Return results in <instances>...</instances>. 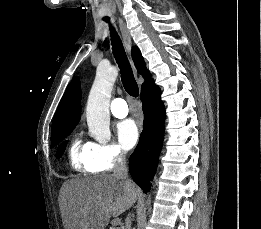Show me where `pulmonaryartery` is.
Masks as SVG:
<instances>
[{"label":"pulmonary artery","mask_w":261,"mask_h":229,"mask_svg":"<svg viewBox=\"0 0 261 229\" xmlns=\"http://www.w3.org/2000/svg\"><path fill=\"white\" fill-rule=\"evenodd\" d=\"M111 112L116 118H125L128 113V107L125 101L121 98L113 100L111 104Z\"/></svg>","instance_id":"1"}]
</instances>
